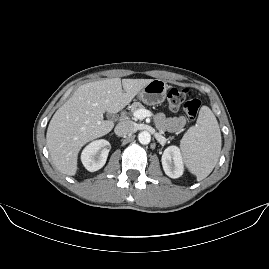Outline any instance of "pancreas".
<instances>
[{"mask_svg":"<svg viewBox=\"0 0 269 269\" xmlns=\"http://www.w3.org/2000/svg\"><path fill=\"white\" fill-rule=\"evenodd\" d=\"M128 109L131 111V113H135L137 110L144 109V106L139 102H133Z\"/></svg>","mask_w":269,"mask_h":269,"instance_id":"cf45deb5","label":"pancreas"}]
</instances>
